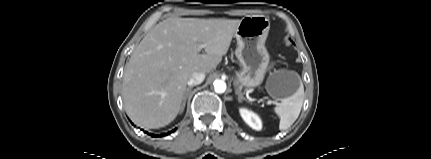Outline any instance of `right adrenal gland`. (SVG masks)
<instances>
[{
    "label": "right adrenal gland",
    "instance_id": "2a0ac1e0",
    "mask_svg": "<svg viewBox=\"0 0 431 159\" xmlns=\"http://www.w3.org/2000/svg\"><path fill=\"white\" fill-rule=\"evenodd\" d=\"M192 88H193V86H190L189 88L186 89V92H185L184 97H183V103H182V107H181L180 113H182L183 110H184V108H185V104H186V100H187L188 94L192 90Z\"/></svg>",
    "mask_w": 431,
    "mask_h": 159
}]
</instances>
